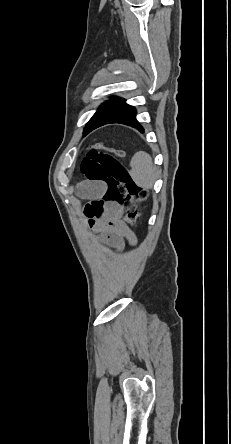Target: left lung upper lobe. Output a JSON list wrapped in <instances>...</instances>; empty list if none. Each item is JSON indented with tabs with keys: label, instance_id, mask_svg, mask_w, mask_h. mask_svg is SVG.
Instances as JSON below:
<instances>
[{
	"label": "left lung upper lobe",
	"instance_id": "obj_1",
	"mask_svg": "<svg viewBox=\"0 0 231 444\" xmlns=\"http://www.w3.org/2000/svg\"><path fill=\"white\" fill-rule=\"evenodd\" d=\"M124 106L125 102L124 99L122 98L112 99L110 101L103 103L87 123V126L84 129V134L86 135L88 129L95 123L118 114Z\"/></svg>",
	"mask_w": 231,
	"mask_h": 444
}]
</instances>
